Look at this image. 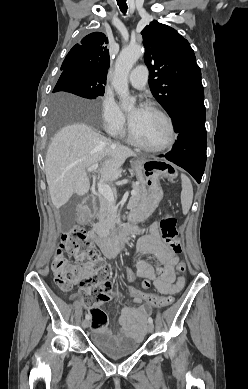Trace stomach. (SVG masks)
<instances>
[{
  "label": "stomach",
  "mask_w": 248,
  "mask_h": 389,
  "mask_svg": "<svg viewBox=\"0 0 248 389\" xmlns=\"http://www.w3.org/2000/svg\"><path fill=\"white\" fill-rule=\"evenodd\" d=\"M139 182H135V189H143L137 209L129 215L128 224L133 226L134 220H147L163 197L160 179L172 181L177 176V165L161 161L142 159L132 162Z\"/></svg>",
  "instance_id": "1"
}]
</instances>
